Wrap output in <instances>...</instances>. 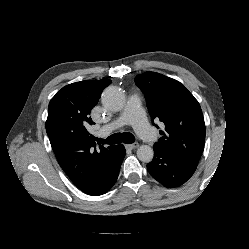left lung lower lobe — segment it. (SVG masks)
Wrapping results in <instances>:
<instances>
[{"instance_id": "left-lung-lower-lobe-1", "label": "left lung lower lobe", "mask_w": 249, "mask_h": 249, "mask_svg": "<svg viewBox=\"0 0 249 249\" xmlns=\"http://www.w3.org/2000/svg\"><path fill=\"white\" fill-rule=\"evenodd\" d=\"M147 170L159 183L173 188L185 183L195 172L196 166L188 164L164 148L154 147V158L147 165Z\"/></svg>"}]
</instances>
